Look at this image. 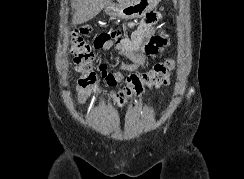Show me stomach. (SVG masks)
Instances as JSON below:
<instances>
[{
	"label": "stomach",
	"instance_id": "0dacf381",
	"mask_svg": "<svg viewBox=\"0 0 244 179\" xmlns=\"http://www.w3.org/2000/svg\"><path fill=\"white\" fill-rule=\"evenodd\" d=\"M159 0H121L119 4H107L104 6V12L112 18H142L143 14H149L150 10L145 8H154ZM143 6V8H141Z\"/></svg>",
	"mask_w": 244,
	"mask_h": 179
}]
</instances>
